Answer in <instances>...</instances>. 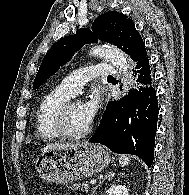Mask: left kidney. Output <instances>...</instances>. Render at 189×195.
<instances>
[{
	"mask_svg": "<svg viewBox=\"0 0 189 195\" xmlns=\"http://www.w3.org/2000/svg\"><path fill=\"white\" fill-rule=\"evenodd\" d=\"M108 195H129L125 185H114L107 190Z\"/></svg>",
	"mask_w": 189,
	"mask_h": 195,
	"instance_id": "obj_1",
	"label": "left kidney"
}]
</instances>
